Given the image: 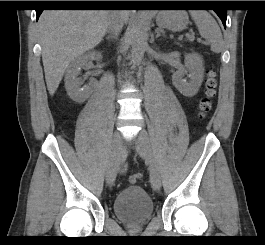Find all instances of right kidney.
Masks as SVG:
<instances>
[{"mask_svg": "<svg viewBox=\"0 0 265 245\" xmlns=\"http://www.w3.org/2000/svg\"><path fill=\"white\" fill-rule=\"evenodd\" d=\"M102 55L100 52L92 51L88 54L77 57L68 66L65 75V88L70 98L78 103L87 100L92 92L90 86L81 87L83 82L78 77L82 68H86L90 60H100Z\"/></svg>", "mask_w": 265, "mask_h": 245, "instance_id": "obj_1", "label": "right kidney"}]
</instances>
